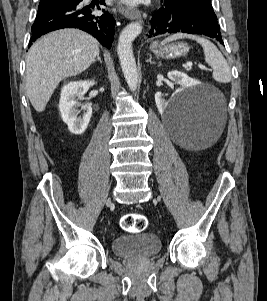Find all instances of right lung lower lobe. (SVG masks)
<instances>
[{
	"label": "right lung lower lobe",
	"instance_id": "1",
	"mask_svg": "<svg viewBox=\"0 0 267 301\" xmlns=\"http://www.w3.org/2000/svg\"><path fill=\"white\" fill-rule=\"evenodd\" d=\"M104 4V0H100ZM94 6H83L82 0H67L49 9L39 11L32 26V41L50 31L61 28H79L96 37L105 47L110 48L114 36L115 20L102 9L97 13ZM100 10V8L98 7ZM29 45V46H30Z\"/></svg>",
	"mask_w": 267,
	"mask_h": 301
}]
</instances>
